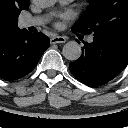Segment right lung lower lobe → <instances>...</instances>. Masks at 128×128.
Returning a JSON list of instances; mask_svg holds the SVG:
<instances>
[{"label":"right lung lower lobe","instance_id":"1","mask_svg":"<svg viewBox=\"0 0 128 128\" xmlns=\"http://www.w3.org/2000/svg\"><path fill=\"white\" fill-rule=\"evenodd\" d=\"M48 47L47 36L26 29L0 37V78L11 81L27 75Z\"/></svg>","mask_w":128,"mask_h":128}]
</instances>
